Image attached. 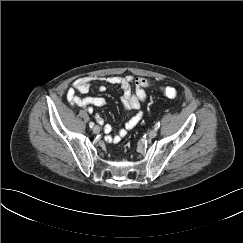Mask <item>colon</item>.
Segmentation results:
<instances>
[{"label":"colon","mask_w":243,"mask_h":243,"mask_svg":"<svg viewBox=\"0 0 243 243\" xmlns=\"http://www.w3.org/2000/svg\"><path fill=\"white\" fill-rule=\"evenodd\" d=\"M162 92L164 93L165 96L169 98H175L177 96V91L175 88L171 86H166L162 89Z\"/></svg>","instance_id":"1"}]
</instances>
